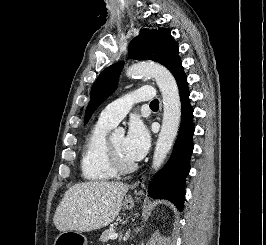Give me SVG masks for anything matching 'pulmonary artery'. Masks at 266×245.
Here are the masks:
<instances>
[{"label": "pulmonary artery", "instance_id": "pulmonary-artery-1", "mask_svg": "<svg viewBox=\"0 0 266 245\" xmlns=\"http://www.w3.org/2000/svg\"><path fill=\"white\" fill-rule=\"evenodd\" d=\"M137 90L129 92V95H134L132 102L124 104V101H129V96H120V100H114V105H108L100 112L98 120L115 125L127 115L135 102L148 101V96L154 95L153 86H138Z\"/></svg>", "mask_w": 266, "mask_h": 245}]
</instances>
